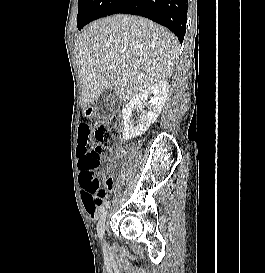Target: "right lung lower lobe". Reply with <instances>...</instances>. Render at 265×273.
Here are the masks:
<instances>
[{"mask_svg":"<svg viewBox=\"0 0 265 273\" xmlns=\"http://www.w3.org/2000/svg\"><path fill=\"white\" fill-rule=\"evenodd\" d=\"M188 0H118L106 16L123 13L149 18L170 29L183 42Z\"/></svg>","mask_w":265,"mask_h":273,"instance_id":"1","label":"right lung lower lobe"}]
</instances>
